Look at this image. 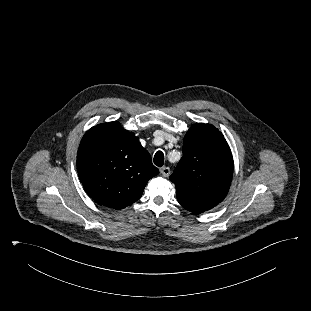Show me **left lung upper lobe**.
<instances>
[{
	"label": "left lung upper lobe",
	"instance_id": "5c2ea615",
	"mask_svg": "<svg viewBox=\"0 0 311 311\" xmlns=\"http://www.w3.org/2000/svg\"><path fill=\"white\" fill-rule=\"evenodd\" d=\"M233 158L222 133L211 124L196 123L183 141V157L170 180L176 193L191 200L218 205L233 176Z\"/></svg>",
	"mask_w": 311,
	"mask_h": 311
}]
</instances>
